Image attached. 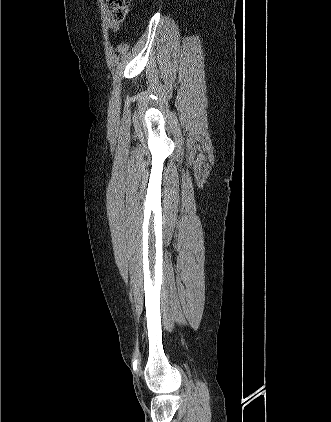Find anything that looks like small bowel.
<instances>
[{"mask_svg": "<svg viewBox=\"0 0 331 422\" xmlns=\"http://www.w3.org/2000/svg\"><path fill=\"white\" fill-rule=\"evenodd\" d=\"M111 25H112V27H113L114 30H118V28H119V24L118 23L112 22Z\"/></svg>", "mask_w": 331, "mask_h": 422, "instance_id": "small-bowel-1", "label": "small bowel"}]
</instances>
